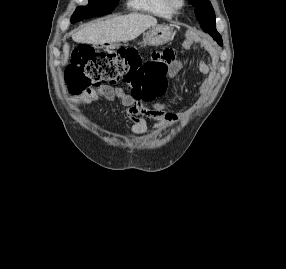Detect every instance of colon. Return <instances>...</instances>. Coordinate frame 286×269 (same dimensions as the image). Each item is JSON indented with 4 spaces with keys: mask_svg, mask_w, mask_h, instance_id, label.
<instances>
[{
    "mask_svg": "<svg viewBox=\"0 0 286 269\" xmlns=\"http://www.w3.org/2000/svg\"><path fill=\"white\" fill-rule=\"evenodd\" d=\"M174 56L172 50H164L154 53L152 60L144 61L132 48L103 52L82 43L68 72V88L77 94L88 88L123 84L136 97L156 98L166 90L168 62Z\"/></svg>",
    "mask_w": 286,
    "mask_h": 269,
    "instance_id": "5ec220e1",
    "label": "colon"
}]
</instances>
